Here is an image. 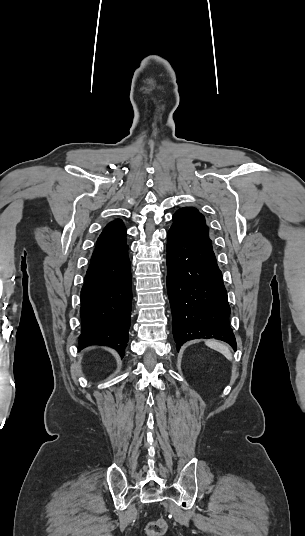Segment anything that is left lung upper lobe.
<instances>
[{
  "instance_id": "obj_1",
  "label": "left lung upper lobe",
  "mask_w": 305,
  "mask_h": 536,
  "mask_svg": "<svg viewBox=\"0 0 305 536\" xmlns=\"http://www.w3.org/2000/svg\"><path fill=\"white\" fill-rule=\"evenodd\" d=\"M170 230L176 231L191 240L211 243L205 218L194 207L177 210L173 215V224Z\"/></svg>"
}]
</instances>
